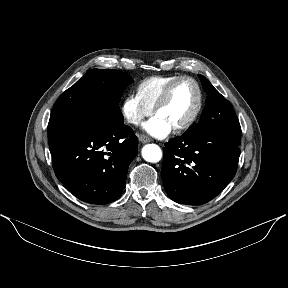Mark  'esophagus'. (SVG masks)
Instances as JSON below:
<instances>
[{
    "instance_id": "1",
    "label": "esophagus",
    "mask_w": 288,
    "mask_h": 288,
    "mask_svg": "<svg viewBox=\"0 0 288 288\" xmlns=\"http://www.w3.org/2000/svg\"><path fill=\"white\" fill-rule=\"evenodd\" d=\"M139 141L142 142V143H149L151 142V138L148 137L147 135H140L139 136Z\"/></svg>"
}]
</instances>
